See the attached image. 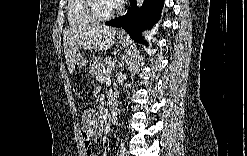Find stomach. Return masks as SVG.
Instances as JSON below:
<instances>
[{
  "instance_id": "stomach-1",
  "label": "stomach",
  "mask_w": 247,
  "mask_h": 156,
  "mask_svg": "<svg viewBox=\"0 0 247 156\" xmlns=\"http://www.w3.org/2000/svg\"><path fill=\"white\" fill-rule=\"evenodd\" d=\"M118 39H119L120 43L126 42V38L123 35H118ZM99 62H100L99 59L94 58L90 63V68L91 69L94 68ZM75 63H78L80 66H85L87 64L86 60L80 55L76 56V60H75L74 64Z\"/></svg>"
}]
</instances>
